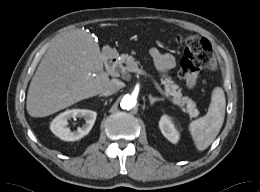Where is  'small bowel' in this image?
I'll return each instance as SVG.
<instances>
[{
    "mask_svg": "<svg viewBox=\"0 0 260 192\" xmlns=\"http://www.w3.org/2000/svg\"><path fill=\"white\" fill-rule=\"evenodd\" d=\"M150 55L153 58L157 69L161 72L166 73L173 69L176 65V61L173 55L162 52L157 47H152L150 49Z\"/></svg>",
    "mask_w": 260,
    "mask_h": 192,
    "instance_id": "obj_1",
    "label": "small bowel"
}]
</instances>
